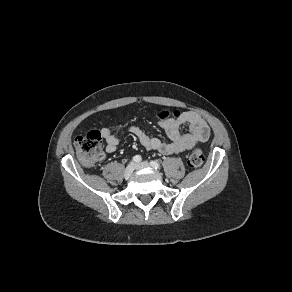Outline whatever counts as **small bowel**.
<instances>
[{"instance_id": "1", "label": "small bowel", "mask_w": 292, "mask_h": 292, "mask_svg": "<svg viewBox=\"0 0 292 292\" xmlns=\"http://www.w3.org/2000/svg\"><path fill=\"white\" fill-rule=\"evenodd\" d=\"M157 123L166 132L169 138L168 142L149 136L136 125L130 127V132L136 136L145 149L158 151L164 155L190 150L197 144L207 141L210 137L208 124L193 111H176L173 115L158 116ZM183 126H188L187 132L181 131ZM101 134L106 141V152L114 153L119 144V138L107 127L101 129Z\"/></svg>"}]
</instances>
